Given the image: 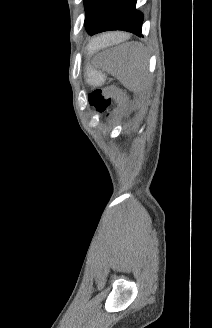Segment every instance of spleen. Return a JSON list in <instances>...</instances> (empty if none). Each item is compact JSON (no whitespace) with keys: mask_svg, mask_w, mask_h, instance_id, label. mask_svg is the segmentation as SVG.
Listing matches in <instances>:
<instances>
[{"mask_svg":"<svg viewBox=\"0 0 212 328\" xmlns=\"http://www.w3.org/2000/svg\"><path fill=\"white\" fill-rule=\"evenodd\" d=\"M112 33H107L95 37L88 45L90 54L100 49L109 47L117 41L111 37ZM124 47L128 48V56L123 61V68L118 72V78L122 84L133 92L142 91L147 86L146 62L141 59L142 48L137 43H129Z\"/></svg>","mask_w":212,"mask_h":328,"instance_id":"3e777b00","label":"spleen"}]
</instances>
